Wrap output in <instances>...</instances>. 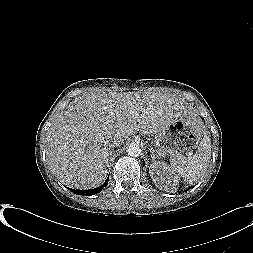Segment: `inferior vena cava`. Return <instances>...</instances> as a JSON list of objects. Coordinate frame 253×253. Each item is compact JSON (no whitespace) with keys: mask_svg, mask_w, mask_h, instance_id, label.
Wrapping results in <instances>:
<instances>
[{"mask_svg":"<svg viewBox=\"0 0 253 253\" xmlns=\"http://www.w3.org/2000/svg\"><path fill=\"white\" fill-rule=\"evenodd\" d=\"M111 142L115 148H120L123 145V140L117 136L113 137Z\"/></svg>","mask_w":253,"mask_h":253,"instance_id":"602c4592","label":"inferior vena cava"}]
</instances>
